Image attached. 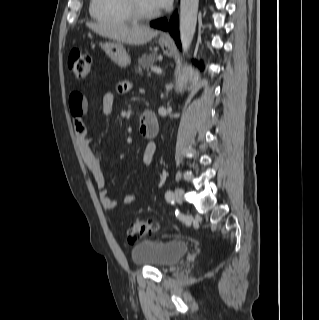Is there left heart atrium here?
<instances>
[{"label":"left heart atrium","instance_id":"left-heart-atrium-1","mask_svg":"<svg viewBox=\"0 0 319 320\" xmlns=\"http://www.w3.org/2000/svg\"><path fill=\"white\" fill-rule=\"evenodd\" d=\"M150 1L156 9L167 8L172 2V0H150Z\"/></svg>","mask_w":319,"mask_h":320}]
</instances>
